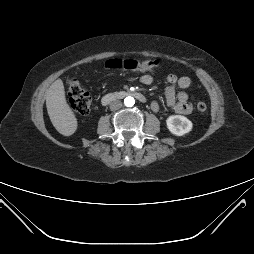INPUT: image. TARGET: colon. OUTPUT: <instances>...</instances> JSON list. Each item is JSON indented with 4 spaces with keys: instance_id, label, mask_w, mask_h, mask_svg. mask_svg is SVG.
I'll return each instance as SVG.
<instances>
[{
    "instance_id": "1",
    "label": "colon",
    "mask_w": 254,
    "mask_h": 254,
    "mask_svg": "<svg viewBox=\"0 0 254 254\" xmlns=\"http://www.w3.org/2000/svg\"><path fill=\"white\" fill-rule=\"evenodd\" d=\"M155 60H136V59H111L106 62L108 69H126L133 71H148L157 66ZM68 95L70 99L71 108L79 115H87L90 112L92 99L90 94L82 87L80 82L76 79L72 80ZM196 108L199 112L205 113L207 106L204 102H198Z\"/></svg>"
}]
</instances>
